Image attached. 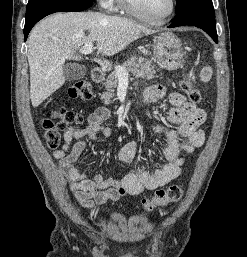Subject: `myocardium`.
<instances>
[{
    "label": "myocardium",
    "mask_w": 247,
    "mask_h": 257,
    "mask_svg": "<svg viewBox=\"0 0 247 257\" xmlns=\"http://www.w3.org/2000/svg\"><path fill=\"white\" fill-rule=\"evenodd\" d=\"M121 2H122V6L124 7V9L131 15H133L134 17H136L148 24L157 25V26L164 25L165 23H167L173 16V14L175 13L176 6H177L176 0H170V8H169L168 12L163 17H161L159 19H154V18L148 17L145 14H143L136 7L133 0H121Z\"/></svg>",
    "instance_id": "1"
}]
</instances>
